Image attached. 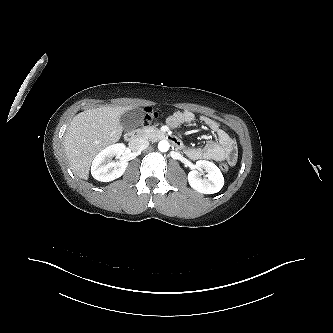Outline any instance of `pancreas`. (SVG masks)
<instances>
[{
    "instance_id": "obj_1",
    "label": "pancreas",
    "mask_w": 333,
    "mask_h": 333,
    "mask_svg": "<svg viewBox=\"0 0 333 333\" xmlns=\"http://www.w3.org/2000/svg\"><path fill=\"white\" fill-rule=\"evenodd\" d=\"M156 132H158V129L154 126L145 127L142 129V133H143L144 137H146V138H151L152 134L156 133Z\"/></svg>"
}]
</instances>
